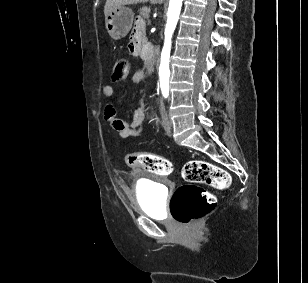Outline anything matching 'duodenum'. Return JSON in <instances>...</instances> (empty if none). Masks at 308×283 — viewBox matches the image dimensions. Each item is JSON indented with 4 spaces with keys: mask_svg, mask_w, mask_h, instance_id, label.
<instances>
[{
    "mask_svg": "<svg viewBox=\"0 0 308 283\" xmlns=\"http://www.w3.org/2000/svg\"><path fill=\"white\" fill-rule=\"evenodd\" d=\"M143 49V62H152V59L156 54V49L153 44L147 40L143 43Z\"/></svg>",
    "mask_w": 308,
    "mask_h": 283,
    "instance_id": "duodenum-1",
    "label": "duodenum"
}]
</instances>
